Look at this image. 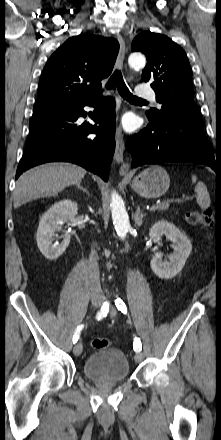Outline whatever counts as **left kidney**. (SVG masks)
<instances>
[{
    "label": "left kidney",
    "instance_id": "1",
    "mask_svg": "<svg viewBox=\"0 0 221 440\" xmlns=\"http://www.w3.org/2000/svg\"><path fill=\"white\" fill-rule=\"evenodd\" d=\"M174 243V252L163 261L159 257H153L150 262L152 271L161 279H169L176 276L184 267L187 258L192 251L190 239L182 233L174 224L160 220L150 229L149 237L154 243L159 242L162 236Z\"/></svg>",
    "mask_w": 221,
    "mask_h": 440
}]
</instances>
